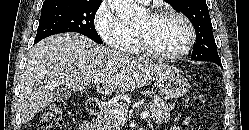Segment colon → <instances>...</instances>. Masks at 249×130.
<instances>
[{"label": "colon", "instance_id": "obj_1", "mask_svg": "<svg viewBox=\"0 0 249 130\" xmlns=\"http://www.w3.org/2000/svg\"><path fill=\"white\" fill-rule=\"evenodd\" d=\"M64 103L56 100L44 112L39 130H62Z\"/></svg>", "mask_w": 249, "mask_h": 130}]
</instances>
